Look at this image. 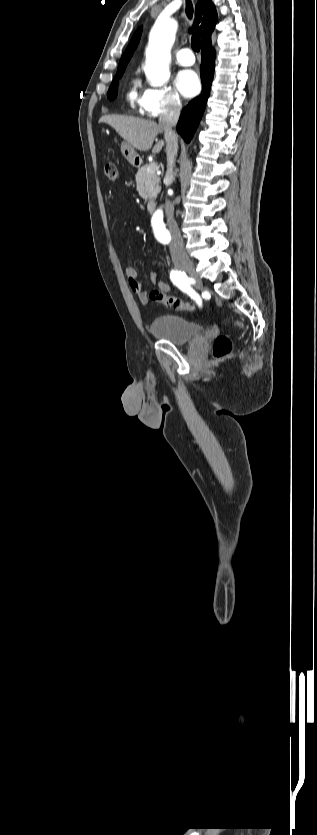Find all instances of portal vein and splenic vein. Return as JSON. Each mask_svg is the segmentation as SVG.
Returning <instances> with one entry per match:
<instances>
[{"mask_svg": "<svg viewBox=\"0 0 317 835\" xmlns=\"http://www.w3.org/2000/svg\"><path fill=\"white\" fill-rule=\"evenodd\" d=\"M159 165L157 163H151L147 168V171H158Z\"/></svg>", "mask_w": 317, "mask_h": 835, "instance_id": "obj_1", "label": "portal vein and splenic vein"}]
</instances>
